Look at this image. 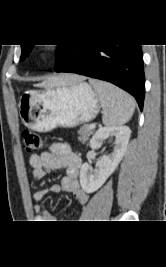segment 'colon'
I'll return each mask as SVG.
<instances>
[{
    "mask_svg": "<svg viewBox=\"0 0 166 267\" xmlns=\"http://www.w3.org/2000/svg\"><path fill=\"white\" fill-rule=\"evenodd\" d=\"M22 140L28 152L37 151L45 144L43 138L38 133L31 130H24L22 132Z\"/></svg>",
    "mask_w": 166,
    "mask_h": 267,
    "instance_id": "colon-1",
    "label": "colon"
}]
</instances>
